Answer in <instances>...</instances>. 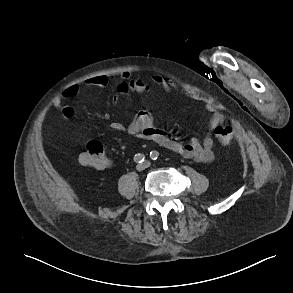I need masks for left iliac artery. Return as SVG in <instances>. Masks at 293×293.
<instances>
[{"label": "left iliac artery", "mask_w": 293, "mask_h": 293, "mask_svg": "<svg viewBox=\"0 0 293 293\" xmlns=\"http://www.w3.org/2000/svg\"><path fill=\"white\" fill-rule=\"evenodd\" d=\"M158 157H159V153L157 152V151H151L150 152V158L152 159V160H157L158 159Z\"/></svg>", "instance_id": "left-iliac-artery-1"}]
</instances>
